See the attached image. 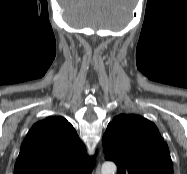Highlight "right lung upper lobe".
<instances>
[{
  "instance_id": "obj_1",
  "label": "right lung upper lobe",
  "mask_w": 187,
  "mask_h": 174,
  "mask_svg": "<svg viewBox=\"0 0 187 174\" xmlns=\"http://www.w3.org/2000/svg\"><path fill=\"white\" fill-rule=\"evenodd\" d=\"M94 165L71 123L48 117L26 135L14 174H91Z\"/></svg>"
}]
</instances>
